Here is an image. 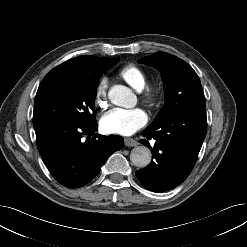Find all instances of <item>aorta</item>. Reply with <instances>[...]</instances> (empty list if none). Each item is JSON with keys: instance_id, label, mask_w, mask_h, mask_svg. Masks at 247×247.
<instances>
[{"instance_id": "obj_1", "label": "aorta", "mask_w": 247, "mask_h": 247, "mask_svg": "<svg viewBox=\"0 0 247 247\" xmlns=\"http://www.w3.org/2000/svg\"><path fill=\"white\" fill-rule=\"evenodd\" d=\"M108 96L113 104L122 107H132L136 98L134 93L123 85L111 87ZM130 160L134 166L144 168L151 161V152L146 146H137L131 151Z\"/></svg>"}]
</instances>
